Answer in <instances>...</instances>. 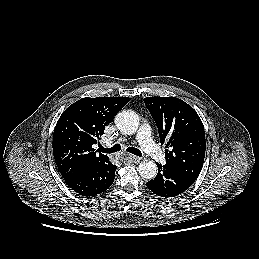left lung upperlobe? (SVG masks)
Returning a JSON list of instances; mask_svg holds the SVG:
<instances>
[{
    "label": "left lung upper lobe",
    "instance_id": "obj_1",
    "mask_svg": "<svg viewBox=\"0 0 259 259\" xmlns=\"http://www.w3.org/2000/svg\"><path fill=\"white\" fill-rule=\"evenodd\" d=\"M144 103L156 122L166 165L191 183L205 158V131L197 112L176 97H146Z\"/></svg>",
    "mask_w": 259,
    "mask_h": 259
}]
</instances>
